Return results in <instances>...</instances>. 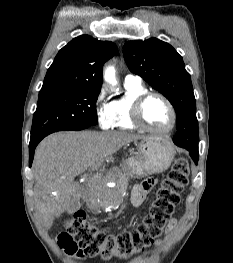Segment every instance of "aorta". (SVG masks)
Wrapping results in <instances>:
<instances>
[{
	"mask_svg": "<svg viewBox=\"0 0 233 263\" xmlns=\"http://www.w3.org/2000/svg\"><path fill=\"white\" fill-rule=\"evenodd\" d=\"M104 79L111 85H116L117 81L115 78V69L112 66H109L104 71Z\"/></svg>",
	"mask_w": 233,
	"mask_h": 263,
	"instance_id": "1",
	"label": "aorta"
}]
</instances>
